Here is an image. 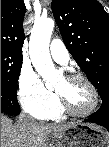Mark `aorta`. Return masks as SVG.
<instances>
[{
    "label": "aorta",
    "instance_id": "obj_1",
    "mask_svg": "<svg viewBox=\"0 0 109 147\" xmlns=\"http://www.w3.org/2000/svg\"><path fill=\"white\" fill-rule=\"evenodd\" d=\"M53 28L54 20L51 18L35 21L29 42L31 62L38 74L46 81V86H51L60 75L49 52Z\"/></svg>",
    "mask_w": 109,
    "mask_h": 147
}]
</instances>
